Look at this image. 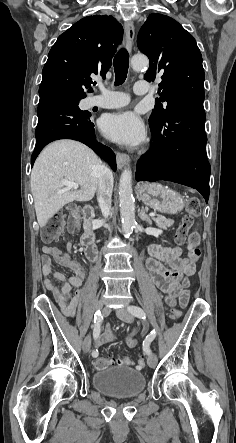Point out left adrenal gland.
Segmentation results:
<instances>
[{"instance_id": "obj_1", "label": "left adrenal gland", "mask_w": 236, "mask_h": 443, "mask_svg": "<svg viewBox=\"0 0 236 443\" xmlns=\"http://www.w3.org/2000/svg\"><path fill=\"white\" fill-rule=\"evenodd\" d=\"M139 218L142 221H146L149 225H152V220L150 219V217L146 214L144 208L142 207L141 212L139 213Z\"/></svg>"}]
</instances>
